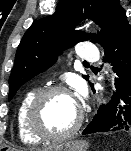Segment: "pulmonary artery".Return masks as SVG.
<instances>
[{"label":"pulmonary artery","mask_w":131,"mask_h":151,"mask_svg":"<svg viewBox=\"0 0 131 151\" xmlns=\"http://www.w3.org/2000/svg\"><path fill=\"white\" fill-rule=\"evenodd\" d=\"M78 56L82 61L85 62H96L99 58L97 48L89 42L80 44Z\"/></svg>","instance_id":"1"}]
</instances>
